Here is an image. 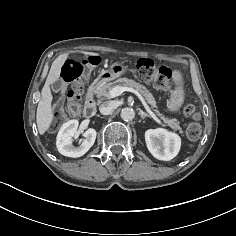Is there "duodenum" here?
<instances>
[{"label": "duodenum", "instance_id": "obj_1", "mask_svg": "<svg viewBox=\"0 0 236 236\" xmlns=\"http://www.w3.org/2000/svg\"><path fill=\"white\" fill-rule=\"evenodd\" d=\"M103 77H99L94 80L88 87L86 100L83 107V114L85 118H92L96 113V102H95V94L96 89L100 85V83L104 80Z\"/></svg>", "mask_w": 236, "mask_h": 236}]
</instances>
